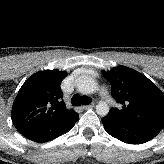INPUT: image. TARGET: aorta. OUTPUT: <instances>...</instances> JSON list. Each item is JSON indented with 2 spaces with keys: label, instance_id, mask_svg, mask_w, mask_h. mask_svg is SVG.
Listing matches in <instances>:
<instances>
[{
  "label": "aorta",
  "instance_id": "obj_1",
  "mask_svg": "<svg viewBox=\"0 0 164 164\" xmlns=\"http://www.w3.org/2000/svg\"><path fill=\"white\" fill-rule=\"evenodd\" d=\"M76 87L83 94H92L97 91L98 86L95 80L89 76H81L76 81ZM96 113L100 116H106L109 113V106L106 102L100 101L96 105Z\"/></svg>",
  "mask_w": 164,
  "mask_h": 164
}]
</instances>
